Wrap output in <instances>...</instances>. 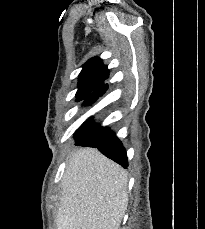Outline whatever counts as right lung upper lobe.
I'll return each mask as SVG.
<instances>
[{"mask_svg": "<svg viewBox=\"0 0 205 229\" xmlns=\"http://www.w3.org/2000/svg\"><path fill=\"white\" fill-rule=\"evenodd\" d=\"M109 70L104 66L101 59L96 57L90 59L83 67L79 76L77 99H82L92 91L104 84L108 78Z\"/></svg>", "mask_w": 205, "mask_h": 229, "instance_id": "right-lung-upper-lobe-1", "label": "right lung upper lobe"}]
</instances>
